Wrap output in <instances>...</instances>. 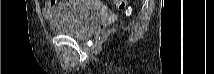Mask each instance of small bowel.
Returning a JSON list of instances; mask_svg holds the SVG:
<instances>
[{
	"label": "small bowel",
	"mask_w": 214,
	"mask_h": 74,
	"mask_svg": "<svg viewBox=\"0 0 214 74\" xmlns=\"http://www.w3.org/2000/svg\"><path fill=\"white\" fill-rule=\"evenodd\" d=\"M72 5L71 2H66L64 4H56V3H47L46 6L43 8V15L44 17L51 19L57 14V8H62L64 6Z\"/></svg>",
	"instance_id": "obj_1"
}]
</instances>
